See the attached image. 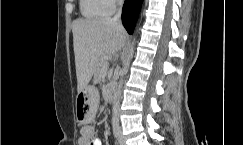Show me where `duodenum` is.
<instances>
[{
    "label": "duodenum",
    "mask_w": 243,
    "mask_h": 145,
    "mask_svg": "<svg viewBox=\"0 0 243 145\" xmlns=\"http://www.w3.org/2000/svg\"><path fill=\"white\" fill-rule=\"evenodd\" d=\"M107 98L110 102H112L115 98V87L110 85L107 90Z\"/></svg>",
    "instance_id": "1"
}]
</instances>
